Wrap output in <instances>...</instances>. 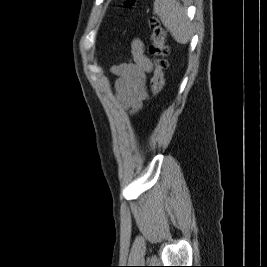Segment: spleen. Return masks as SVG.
Returning a JSON list of instances; mask_svg holds the SVG:
<instances>
[{"label": "spleen", "mask_w": 267, "mask_h": 267, "mask_svg": "<svg viewBox=\"0 0 267 267\" xmlns=\"http://www.w3.org/2000/svg\"><path fill=\"white\" fill-rule=\"evenodd\" d=\"M154 14L160 18L162 24L178 43L189 42L192 36V27L186 17V9L177 0H155Z\"/></svg>", "instance_id": "obj_1"}]
</instances>
